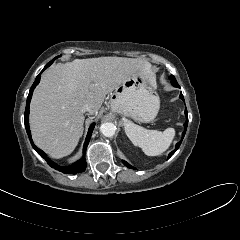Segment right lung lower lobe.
<instances>
[{
    "label": "right lung lower lobe",
    "instance_id": "1",
    "mask_svg": "<svg viewBox=\"0 0 240 240\" xmlns=\"http://www.w3.org/2000/svg\"><path fill=\"white\" fill-rule=\"evenodd\" d=\"M55 59H53L52 61H50L45 67L44 69L40 72V74L37 76L35 82L33 83L30 91H29V95H28V98H27V103H26V109H25V127H26V131L28 133V136H29V139H30V142L32 144V147L37 151V153L42 156L46 161L49 162V165L52 167V168H55L56 170L62 172V173H65V174H76V173H79V172H84L85 169H86V160L84 158V154L86 153V149H87V146H88V143L90 141V137H91V134H92V131L94 129V126H95V123H92L89 130H88V134H87V137H86V140H85V143H84V148H83V157L75 162L73 165L71 166H68V167H63V166H59L57 164H55L54 162H52L51 160H49L45 153L40 150L39 148H37L34 144H33V141L31 139V134H30V129H29V104H30V101H31V97H32V93H33V90L34 88L36 87V85L40 82V75L41 73L46 69L48 68L54 61Z\"/></svg>",
    "mask_w": 240,
    "mask_h": 240
}]
</instances>
